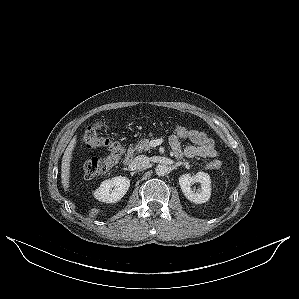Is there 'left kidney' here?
Returning <instances> with one entry per match:
<instances>
[{
    "label": "left kidney",
    "instance_id": "1",
    "mask_svg": "<svg viewBox=\"0 0 299 299\" xmlns=\"http://www.w3.org/2000/svg\"><path fill=\"white\" fill-rule=\"evenodd\" d=\"M195 182H199L201 186L196 193L191 189V184ZM179 185L185 197L196 204L207 202L211 196V180L207 173L198 172L194 176L183 174L179 177Z\"/></svg>",
    "mask_w": 299,
    "mask_h": 299
}]
</instances>
